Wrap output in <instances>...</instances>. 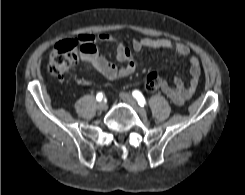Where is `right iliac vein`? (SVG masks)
<instances>
[{
	"label": "right iliac vein",
	"instance_id": "right-iliac-vein-1",
	"mask_svg": "<svg viewBox=\"0 0 245 195\" xmlns=\"http://www.w3.org/2000/svg\"><path fill=\"white\" fill-rule=\"evenodd\" d=\"M108 108V105H107V103L106 102H100L99 104H98V109L100 110V111H105L106 109Z\"/></svg>",
	"mask_w": 245,
	"mask_h": 195
}]
</instances>
